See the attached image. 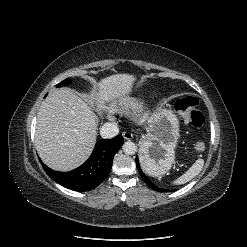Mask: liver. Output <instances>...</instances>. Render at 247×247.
I'll use <instances>...</instances> for the list:
<instances>
[{
	"instance_id": "6515ba94",
	"label": "liver",
	"mask_w": 247,
	"mask_h": 247,
	"mask_svg": "<svg viewBox=\"0 0 247 247\" xmlns=\"http://www.w3.org/2000/svg\"><path fill=\"white\" fill-rule=\"evenodd\" d=\"M134 81L129 74L105 77L89 102L65 88L50 93L39 109L36 126V148L42 161L57 171L80 166L96 142L97 114L108 103L127 98Z\"/></svg>"
}]
</instances>
